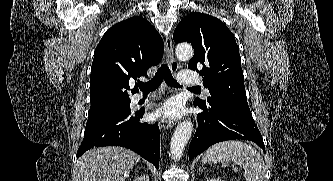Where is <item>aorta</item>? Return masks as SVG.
<instances>
[{"label":"aorta","instance_id":"1","mask_svg":"<svg viewBox=\"0 0 333 181\" xmlns=\"http://www.w3.org/2000/svg\"><path fill=\"white\" fill-rule=\"evenodd\" d=\"M175 53L179 60H189L193 56V48L187 43L179 44L176 47ZM192 130L193 124L190 120H184L176 127L170 144V150L174 160L178 161L182 157L184 148L192 135Z\"/></svg>","mask_w":333,"mask_h":181}]
</instances>
